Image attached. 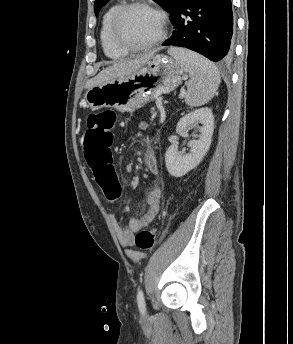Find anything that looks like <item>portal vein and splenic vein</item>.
Returning <instances> with one entry per match:
<instances>
[{
    "mask_svg": "<svg viewBox=\"0 0 293 344\" xmlns=\"http://www.w3.org/2000/svg\"><path fill=\"white\" fill-rule=\"evenodd\" d=\"M161 98H158L157 101L159 102L158 105H161ZM156 115V113L153 114V117Z\"/></svg>",
    "mask_w": 293,
    "mask_h": 344,
    "instance_id": "portal-vein-and-splenic-vein-1",
    "label": "portal vein and splenic vein"
}]
</instances>
